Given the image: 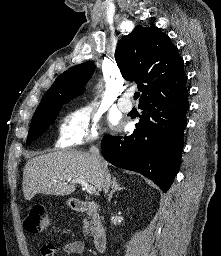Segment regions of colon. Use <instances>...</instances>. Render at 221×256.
Here are the masks:
<instances>
[{
  "label": "colon",
  "mask_w": 221,
  "mask_h": 256,
  "mask_svg": "<svg viewBox=\"0 0 221 256\" xmlns=\"http://www.w3.org/2000/svg\"><path fill=\"white\" fill-rule=\"evenodd\" d=\"M25 229L31 233H41L49 230L51 220L46 208L41 204H34L24 222Z\"/></svg>",
  "instance_id": "obj_1"
}]
</instances>
